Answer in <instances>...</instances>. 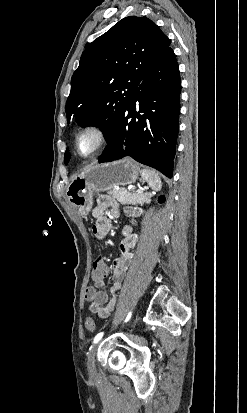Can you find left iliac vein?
I'll use <instances>...</instances> for the list:
<instances>
[{
	"label": "left iliac vein",
	"instance_id": "left-iliac-vein-1",
	"mask_svg": "<svg viewBox=\"0 0 247 413\" xmlns=\"http://www.w3.org/2000/svg\"><path fill=\"white\" fill-rule=\"evenodd\" d=\"M97 349H98V345H94L89 354H88V358H87V369L89 371V373L91 375L96 374V369H95V356L97 353Z\"/></svg>",
	"mask_w": 247,
	"mask_h": 413
}]
</instances>
